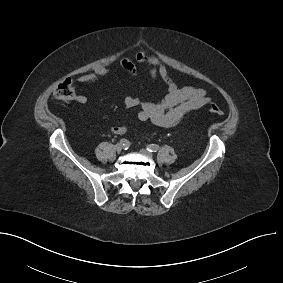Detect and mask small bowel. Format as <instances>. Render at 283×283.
Here are the masks:
<instances>
[{
	"mask_svg": "<svg viewBox=\"0 0 283 283\" xmlns=\"http://www.w3.org/2000/svg\"><path fill=\"white\" fill-rule=\"evenodd\" d=\"M119 64L133 77L138 75L137 65H141L153 81L161 80L167 86V93L159 102L144 101L133 95L123 96L122 100L126 107L138 108L137 117L141 121H150L163 128L173 127L210 101L204 89L191 86L178 87L164 63L155 55L138 51L134 59L122 57ZM110 72L109 68L100 66L93 72L79 76L77 81L82 84L96 83L108 76ZM75 101L78 104H85L87 98L84 95H78ZM111 130L115 135H122L127 131V126L116 125Z\"/></svg>",
	"mask_w": 283,
	"mask_h": 283,
	"instance_id": "1",
	"label": "small bowel"
}]
</instances>
